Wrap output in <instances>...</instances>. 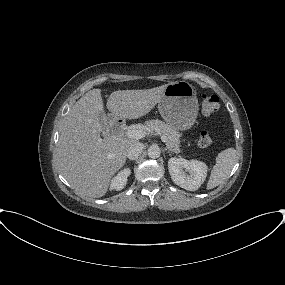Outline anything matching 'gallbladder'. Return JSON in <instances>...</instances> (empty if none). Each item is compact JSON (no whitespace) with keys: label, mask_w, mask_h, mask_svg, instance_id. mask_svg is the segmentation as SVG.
<instances>
[{"label":"gallbladder","mask_w":285,"mask_h":285,"mask_svg":"<svg viewBox=\"0 0 285 285\" xmlns=\"http://www.w3.org/2000/svg\"><path fill=\"white\" fill-rule=\"evenodd\" d=\"M99 120L102 124L103 131H106L107 128L109 127V122H110L111 118L109 116H107L104 112H100L99 113Z\"/></svg>","instance_id":"1"}]
</instances>
